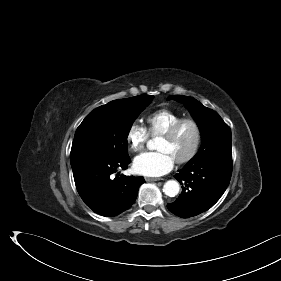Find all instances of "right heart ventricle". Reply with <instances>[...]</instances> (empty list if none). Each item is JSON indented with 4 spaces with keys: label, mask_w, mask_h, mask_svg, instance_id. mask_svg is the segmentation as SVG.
<instances>
[{
    "label": "right heart ventricle",
    "mask_w": 281,
    "mask_h": 281,
    "mask_svg": "<svg viewBox=\"0 0 281 281\" xmlns=\"http://www.w3.org/2000/svg\"><path fill=\"white\" fill-rule=\"evenodd\" d=\"M180 114L172 110L163 108L159 109L147 116L148 132L151 136H161L176 121L181 119Z\"/></svg>",
    "instance_id": "e07e8e85"
}]
</instances>
